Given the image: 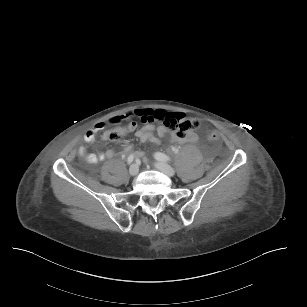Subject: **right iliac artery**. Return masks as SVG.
<instances>
[{
  "label": "right iliac artery",
  "instance_id": "obj_1",
  "mask_svg": "<svg viewBox=\"0 0 307 307\" xmlns=\"http://www.w3.org/2000/svg\"><path fill=\"white\" fill-rule=\"evenodd\" d=\"M134 155H130L127 159V163L130 165L134 161Z\"/></svg>",
  "mask_w": 307,
  "mask_h": 307
}]
</instances>
